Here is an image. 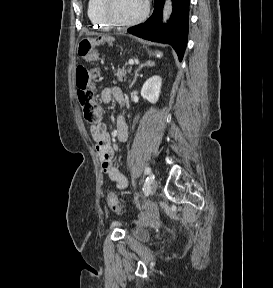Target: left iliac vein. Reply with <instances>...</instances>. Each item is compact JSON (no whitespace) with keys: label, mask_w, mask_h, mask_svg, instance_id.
<instances>
[{"label":"left iliac vein","mask_w":273,"mask_h":288,"mask_svg":"<svg viewBox=\"0 0 273 288\" xmlns=\"http://www.w3.org/2000/svg\"><path fill=\"white\" fill-rule=\"evenodd\" d=\"M158 183L156 180H152L149 187V194L153 195L157 191Z\"/></svg>","instance_id":"1"}]
</instances>
